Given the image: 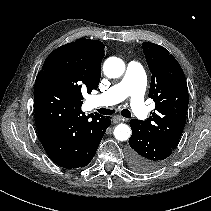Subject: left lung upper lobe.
I'll return each instance as SVG.
<instances>
[{"mask_svg":"<svg viewBox=\"0 0 211 211\" xmlns=\"http://www.w3.org/2000/svg\"><path fill=\"white\" fill-rule=\"evenodd\" d=\"M142 46L152 73L149 98L156 107L146 121L139 122L152 136L175 149L186 123L189 103L185 75L167 49L150 42Z\"/></svg>","mask_w":211,"mask_h":211,"instance_id":"1","label":"left lung upper lobe"}]
</instances>
